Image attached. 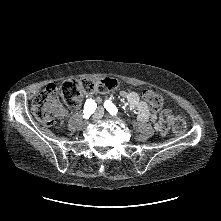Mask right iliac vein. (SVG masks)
<instances>
[{
    "instance_id": "obj_1",
    "label": "right iliac vein",
    "mask_w": 221,
    "mask_h": 221,
    "mask_svg": "<svg viewBox=\"0 0 221 221\" xmlns=\"http://www.w3.org/2000/svg\"><path fill=\"white\" fill-rule=\"evenodd\" d=\"M95 118H96V119L101 118V114H100V113H97V114L95 115ZM83 125L86 126V123H84Z\"/></svg>"
}]
</instances>
